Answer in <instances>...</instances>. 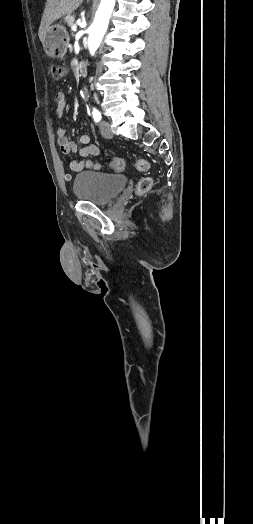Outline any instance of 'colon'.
<instances>
[{"label":"colon","mask_w":253,"mask_h":524,"mask_svg":"<svg viewBox=\"0 0 253 524\" xmlns=\"http://www.w3.org/2000/svg\"><path fill=\"white\" fill-rule=\"evenodd\" d=\"M49 72L53 80H61L67 73V67L59 62H52L49 65ZM88 168L99 169L100 165L93 162L87 163ZM110 168L115 172H122L125 169V160L121 157H115L109 162ZM135 166L138 170L146 171L149 168V163L146 160L139 159L136 161ZM152 186V180L149 177H143L137 184V193L144 194Z\"/></svg>","instance_id":"5ec220e1"}]
</instances>
